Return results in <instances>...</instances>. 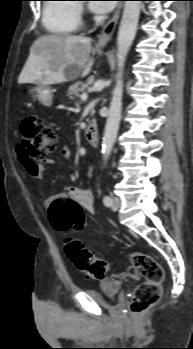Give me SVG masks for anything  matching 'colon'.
Segmentation results:
<instances>
[{
	"mask_svg": "<svg viewBox=\"0 0 193 349\" xmlns=\"http://www.w3.org/2000/svg\"><path fill=\"white\" fill-rule=\"evenodd\" d=\"M23 141L21 148L30 160V169H35L34 161H42L56 148L54 131L37 115L27 116L21 125ZM52 226L67 234L65 251L74 266L86 276L102 280L108 272V263L94 255L72 236L77 230L83 217L82 207L71 200H55L49 207ZM129 259L144 281L136 288L132 297L131 311L140 315L155 305L162 292L164 270L162 266L148 254L130 252Z\"/></svg>",
	"mask_w": 193,
	"mask_h": 349,
	"instance_id": "colon-1",
	"label": "colon"
}]
</instances>
